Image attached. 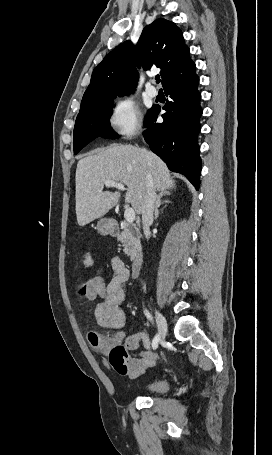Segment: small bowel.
Instances as JSON below:
<instances>
[{"instance_id": "1", "label": "small bowel", "mask_w": 272, "mask_h": 455, "mask_svg": "<svg viewBox=\"0 0 272 455\" xmlns=\"http://www.w3.org/2000/svg\"><path fill=\"white\" fill-rule=\"evenodd\" d=\"M111 269L113 275L106 284L103 300L96 305L94 314L100 326L115 330L114 342L123 344L126 350L135 351L142 343L143 350L137 356L130 357L127 360L126 370L120 372L128 378L134 379L152 368L156 364L158 356L151 351V342L145 332L127 336L123 331L126 319L123 310L124 284L129 279L130 272L124 262L116 256L111 259ZM103 362H106L105 359Z\"/></svg>"}]
</instances>
